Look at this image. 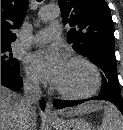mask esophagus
Segmentation results:
<instances>
[{"label": "esophagus", "mask_w": 123, "mask_h": 130, "mask_svg": "<svg viewBox=\"0 0 123 130\" xmlns=\"http://www.w3.org/2000/svg\"><path fill=\"white\" fill-rule=\"evenodd\" d=\"M43 115L47 119H54L56 117L55 113L51 108V104L49 102L46 104V108Z\"/></svg>", "instance_id": "1"}]
</instances>
